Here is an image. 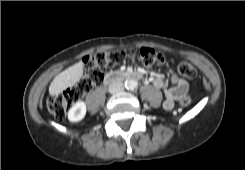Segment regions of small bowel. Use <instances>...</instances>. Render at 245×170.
<instances>
[{
	"label": "small bowel",
	"mask_w": 245,
	"mask_h": 170,
	"mask_svg": "<svg viewBox=\"0 0 245 170\" xmlns=\"http://www.w3.org/2000/svg\"><path fill=\"white\" fill-rule=\"evenodd\" d=\"M150 82L153 84L156 88H163L166 84V82L161 77H155L150 79ZM169 82L171 84V87L165 91L164 94V102L163 107L166 110H171L176 101L182 100L185 98L188 92V82L173 74L169 77Z\"/></svg>",
	"instance_id": "c3829d8e"
}]
</instances>
